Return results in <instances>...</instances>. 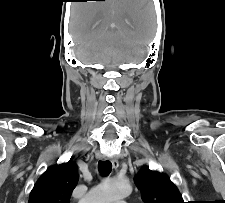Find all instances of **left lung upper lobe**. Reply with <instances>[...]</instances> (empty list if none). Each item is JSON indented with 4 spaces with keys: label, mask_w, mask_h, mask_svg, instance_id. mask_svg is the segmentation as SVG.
<instances>
[{
    "label": "left lung upper lobe",
    "mask_w": 225,
    "mask_h": 203,
    "mask_svg": "<svg viewBox=\"0 0 225 203\" xmlns=\"http://www.w3.org/2000/svg\"><path fill=\"white\" fill-rule=\"evenodd\" d=\"M134 181L144 203H184L177 187L163 173L142 168Z\"/></svg>",
    "instance_id": "5c2ea615"
}]
</instances>
